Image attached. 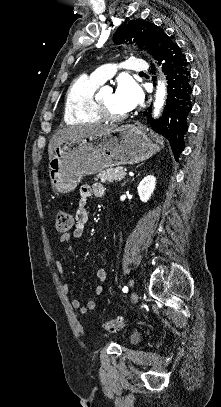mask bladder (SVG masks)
Wrapping results in <instances>:
<instances>
[{
	"instance_id": "obj_1",
	"label": "bladder",
	"mask_w": 221,
	"mask_h": 407,
	"mask_svg": "<svg viewBox=\"0 0 221 407\" xmlns=\"http://www.w3.org/2000/svg\"><path fill=\"white\" fill-rule=\"evenodd\" d=\"M129 340L132 344H137L140 342V333L139 332H133L130 337Z\"/></svg>"
}]
</instances>
